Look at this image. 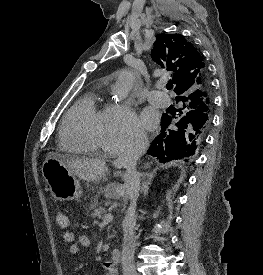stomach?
Wrapping results in <instances>:
<instances>
[{
	"instance_id": "obj_1",
	"label": "stomach",
	"mask_w": 263,
	"mask_h": 275,
	"mask_svg": "<svg viewBox=\"0 0 263 275\" xmlns=\"http://www.w3.org/2000/svg\"><path fill=\"white\" fill-rule=\"evenodd\" d=\"M42 175L55 200L69 201L82 196L79 181L61 161L53 157L46 158L42 165Z\"/></svg>"
}]
</instances>
